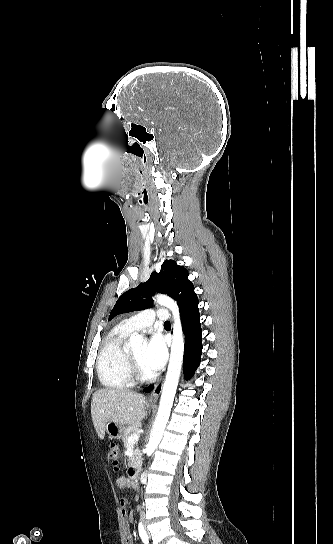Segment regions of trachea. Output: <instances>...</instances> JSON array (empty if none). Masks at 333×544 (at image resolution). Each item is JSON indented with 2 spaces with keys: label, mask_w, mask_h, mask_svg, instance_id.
Here are the masks:
<instances>
[{
  "label": "trachea",
  "mask_w": 333,
  "mask_h": 544,
  "mask_svg": "<svg viewBox=\"0 0 333 544\" xmlns=\"http://www.w3.org/2000/svg\"><path fill=\"white\" fill-rule=\"evenodd\" d=\"M164 325H165V326H170V322H169V321H166V322L164 323Z\"/></svg>",
  "instance_id": "trachea-1"
}]
</instances>
